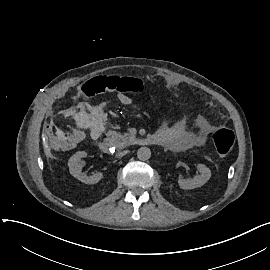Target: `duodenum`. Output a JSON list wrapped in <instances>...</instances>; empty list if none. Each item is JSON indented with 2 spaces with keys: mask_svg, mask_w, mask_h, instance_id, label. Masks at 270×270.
<instances>
[{
  "mask_svg": "<svg viewBox=\"0 0 270 270\" xmlns=\"http://www.w3.org/2000/svg\"><path fill=\"white\" fill-rule=\"evenodd\" d=\"M139 143L141 145H159L161 141L156 134L149 135L145 138H142ZM99 149L104 153H110L112 149V143L108 139H104L99 143Z\"/></svg>",
  "mask_w": 270,
  "mask_h": 270,
  "instance_id": "obj_1",
  "label": "duodenum"
}]
</instances>
